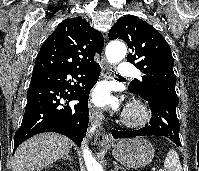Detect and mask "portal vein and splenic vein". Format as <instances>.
Returning <instances> with one entry per match:
<instances>
[{
	"mask_svg": "<svg viewBox=\"0 0 199 171\" xmlns=\"http://www.w3.org/2000/svg\"><path fill=\"white\" fill-rule=\"evenodd\" d=\"M154 171L156 170V169H153ZM158 171H166L165 169H162V168H160V169H158Z\"/></svg>",
	"mask_w": 199,
	"mask_h": 171,
	"instance_id": "18ae733b",
	"label": "portal vein and splenic vein"
}]
</instances>
